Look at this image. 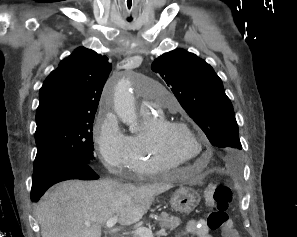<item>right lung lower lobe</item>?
<instances>
[{
	"mask_svg": "<svg viewBox=\"0 0 297 237\" xmlns=\"http://www.w3.org/2000/svg\"><path fill=\"white\" fill-rule=\"evenodd\" d=\"M99 176L84 161H65L52 165L44 179V183L32 186L31 200H38L54 184L71 180H96Z\"/></svg>",
	"mask_w": 297,
	"mask_h": 237,
	"instance_id": "1",
	"label": "right lung lower lobe"
}]
</instances>
